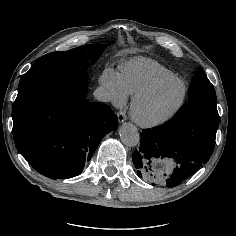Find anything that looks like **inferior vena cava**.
<instances>
[{
	"label": "inferior vena cava",
	"instance_id": "602c4592",
	"mask_svg": "<svg viewBox=\"0 0 236 236\" xmlns=\"http://www.w3.org/2000/svg\"><path fill=\"white\" fill-rule=\"evenodd\" d=\"M94 97L100 102H110L112 100V94L107 87H98L94 91Z\"/></svg>",
	"mask_w": 236,
	"mask_h": 236
}]
</instances>
